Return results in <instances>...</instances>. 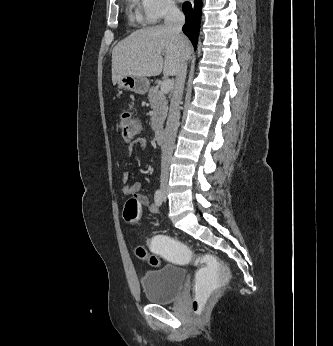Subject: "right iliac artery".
Returning <instances> with one entry per match:
<instances>
[{
    "label": "right iliac artery",
    "mask_w": 333,
    "mask_h": 346,
    "mask_svg": "<svg viewBox=\"0 0 333 346\" xmlns=\"http://www.w3.org/2000/svg\"><path fill=\"white\" fill-rule=\"evenodd\" d=\"M154 200L157 206H161L163 202V193L161 189H157L154 195Z\"/></svg>",
    "instance_id": "obj_1"
}]
</instances>
